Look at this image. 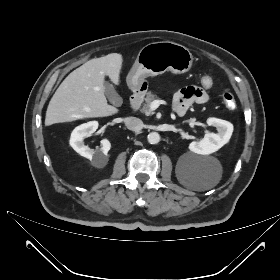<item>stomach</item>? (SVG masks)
Returning <instances> with one entry per match:
<instances>
[{"label":"stomach","mask_w":280,"mask_h":280,"mask_svg":"<svg viewBox=\"0 0 280 280\" xmlns=\"http://www.w3.org/2000/svg\"><path fill=\"white\" fill-rule=\"evenodd\" d=\"M192 62L193 56L185 46L170 41L149 43L139 51L126 81L131 90L143 91L147 77L166 71L182 74L191 69Z\"/></svg>","instance_id":"obj_1"}]
</instances>
